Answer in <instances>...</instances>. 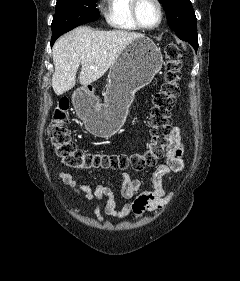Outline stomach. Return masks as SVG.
I'll return each mask as SVG.
<instances>
[{"mask_svg": "<svg viewBox=\"0 0 240 281\" xmlns=\"http://www.w3.org/2000/svg\"><path fill=\"white\" fill-rule=\"evenodd\" d=\"M163 64L162 54L146 36L134 39L111 66L104 103L82 89L84 100L76 103L78 115L87 130L99 137H110L123 125L134 94L153 80Z\"/></svg>", "mask_w": 240, "mask_h": 281, "instance_id": "0dacf381", "label": "stomach"}]
</instances>
